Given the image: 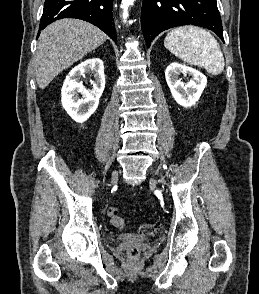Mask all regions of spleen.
<instances>
[{
  "label": "spleen",
  "mask_w": 259,
  "mask_h": 294,
  "mask_svg": "<svg viewBox=\"0 0 259 294\" xmlns=\"http://www.w3.org/2000/svg\"><path fill=\"white\" fill-rule=\"evenodd\" d=\"M164 46L182 61L206 69L212 75L224 70L225 62L217 40L206 30L195 26L171 30Z\"/></svg>",
  "instance_id": "1"
}]
</instances>
